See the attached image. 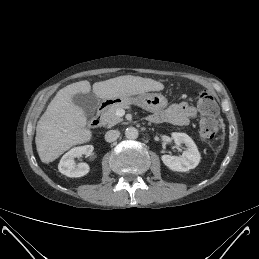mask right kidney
Segmentation results:
<instances>
[{"label":"right kidney","instance_id":"obj_1","mask_svg":"<svg viewBox=\"0 0 259 259\" xmlns=\"http://www.w3.org/2000/svg\"><path fill=\"white\" fill-rule=\"evenodd\" d=\"M94 147L92 145H84L74 147L65 153L58 165L59 171L67 177H83L89 173V165L87 163H79L76 165L74 159L86 155L87 157L92 154Z\"/></svg>","mask_w":259,"mask_h":259}]
</instances>
